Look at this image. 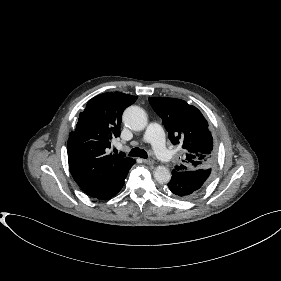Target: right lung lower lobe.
<instances>
[{"instance_id":"98d812e1","label":"right lung lower lobe","mask_w":281,"mask_h":281,"mask_svg":"<svg viewBox=\"0 0 281 281\" xmlns=\"http://www.w3.org/2000/svg\"><path fill=\"white\" fill-rule=\"evenodd\" d=\"M135 163V161L133 162V164ZM133 164L131 165V167L133 166ZM130 167V168H131ZM129 168V169H130ZM129 171V170H128ZM128 171H127V173L121 178V180L115 185V186H113L109 191H107L106 193H104V194H102L101 196H99V197H96V198H98V199H100V200H106V199H109V198H111V197H113L114 195H116L121 189H122V187H123V185H124V180H125V178H126V176H127V174H128Z\"/></svg>"}]
</instances>
